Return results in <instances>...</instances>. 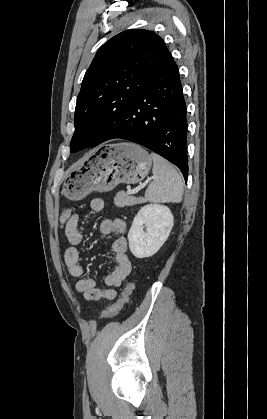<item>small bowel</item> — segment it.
Listing matches in <instances>:
<instances>
[{"instance_id": "1", "label": "small bowel", "mask_w": 267, "mask_h": 419, "mask_svg": "<svg viewBox=\"0 0 267 419\" xmlns=\"http://www.w3.org/2000/svg\"><path fill=\"white\" fill-rule=\"evenodd\" d=\"M104 201L100 198L93 199L90 203L89 213L94 216L104 209ZM80 219L79 213H74L65 224V234L70 242L64 255L65 263L69 273L77 278L76 289L83 294L88 301H106L113 300L122 282L131 272V263L127 256V240L124 237L126 224L122 219H104L100 223V232L105 235L114 236L115 239L111 245L115 268L105 277L104 288L97 287L96 281L86 276L85 268L80 264V253L78 245L83 240V235L78 229Z\"/></svg>"}]
</instances>
